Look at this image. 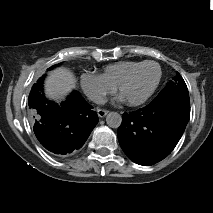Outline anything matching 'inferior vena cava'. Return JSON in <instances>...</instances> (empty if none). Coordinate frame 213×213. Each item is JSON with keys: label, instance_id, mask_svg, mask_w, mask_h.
<instances>
[{"label": "inferior vena cava", "instance_id": "1", "mask_svg": "<svg viewBox=\"0 0 213 213\" xmlns=\"http://www.w3.org/2000/svg\"><path fill=\"white\" fill-rule=\"evenodd\" d=\"M89 99L91 101H93L94 103L96 104H99V105H102V104H105L106 103V100L103 96L101 95H98V94H92Z\"/></svg>", "mask_w": 213, "mask_h": 213}]
</instances>
